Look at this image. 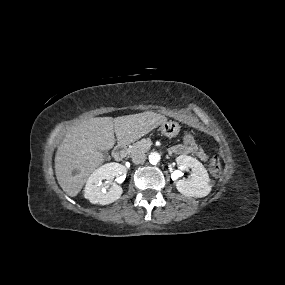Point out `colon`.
Wrapping results in <instances>:
<instances>
[{"instance_id":"colon-1","label":"colon","mask_w":285,"mask_h":285,"mask_svg":"<svg viewBox=\"0 0 285 285\" xmlns=\"http://www.w3.org/2000/svg\"><path fill=\"white\" fill-rule=\"evenodd\" d=\"M184 143L187 146H192L195 143L194 134L191 131H186L183 134ZM210 172L213 176H220L222 173V166L217 155L212 156L210 161Z\"/></svg>"}]
</instances>
